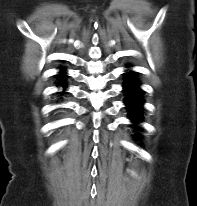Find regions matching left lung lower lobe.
<instances>
[{"instance_id":"left-lung-lower-lobe-1","label":"left lung lower lobe","mask_w":197,"mask_h":206,"mask_svg":"<svg viewBox=\"0 0 197 206\" xmlns=\"http://www.w3.org/2000/svg\"><path fill=\"white\" fill-rule=\"evenodd\" d=\"M125 81L123 84L125 93V104L129 112V119L135 123L141 121L143 107V91L140 88V83L137 80V73L133 71L126 72Z\"/></svg>"}]
</instances>
